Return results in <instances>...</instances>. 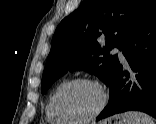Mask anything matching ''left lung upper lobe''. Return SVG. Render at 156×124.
<instances>
[{"instance_id": "left-lung-upper-lobe-1", "label": "left lung upper lobe", "mask_w": 156, "mask_h": 124, "mask_svg": "<svg viewBox=\"0 0 156 124\" xmlns=\"http://www.w3.org/2000/svg\"><path fill=\"white\" fill-rule=\"evenodd\" d=\"M153 2L84 0L55 31L42 76V93L68 70L88 71L109 86L119 65L118 57L109 55L110 44L121 50ZM103 35L106 38L104 47L97 42Z\"/></svg>"}]
</instances>
